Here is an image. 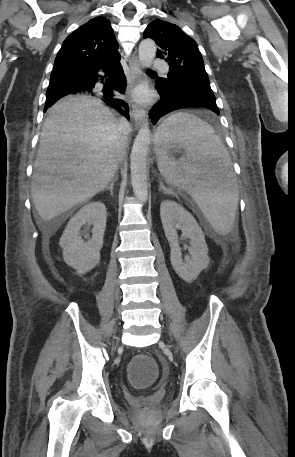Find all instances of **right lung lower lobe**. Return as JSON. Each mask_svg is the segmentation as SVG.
Masks as SVG:
<instances>
[{
  "label": "right lung lower lobe",
  "mask_w": 295,
  "mask_h": 457,
  "mask_svg": "<svg viewBox=\"0 0 295 457\" xmlns=\"http://www.w3.org/2000/svg\"><path fill=\"white\" fill-rule=\"evenodd\" d=\"M119 61L120 55L118 53L97 65L80 71L52 73L46 92L47 100L44 111L65 95L86 93L101 98L129 119L127 103L117 98V92L123 94L126 89V79ZM100 72L105 74L101 75ZM98 81L104 84L102 88L96 86ZM104 81L106 82L104 83Z\"/></svg>",
  "instance_id": "right-lung-lower-lobe-1"
}]
</instances>
